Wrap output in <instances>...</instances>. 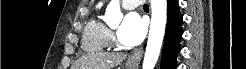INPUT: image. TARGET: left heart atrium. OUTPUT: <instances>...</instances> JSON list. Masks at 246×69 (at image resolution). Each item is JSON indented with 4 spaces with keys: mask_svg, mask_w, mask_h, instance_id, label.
Here are the masks:
<instances>
[{
    "mask_svg": "<svg viewBox=\"0 0 246 69\" xmlns=\"http://www.w3.org/2000/svg\"><path fill=\"white\" fill-rule=\"evenodd\" d=\"M145 31V20L139 13L130 12L125 16L117 35L122 44L135 46L143 40Z\"/></svg>",
    "mask_w": 246,
    "mask_h": 69,
    "instance_id": "1",
    "label": "left heart atrium"
}]
</instances>
